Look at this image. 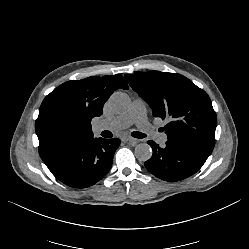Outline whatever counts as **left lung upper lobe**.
Instances as JSON below:
<instances>
[{
  "mask_svg": "<svg viewBox=\"0 0 249 249\" xmlns=\"http://www.w3.org/2000/svg\"><path fill=\"white\" fill-rule=\"evenodd\" d=\"M132 89L145 100L154 117L170 122L162 128L168 140L214 148L217 116L207 93L188 78L159 71L126 74Z\"/></svg>",
  "mask_w": 249,
  "mask_h": 249,
  "instance_id": "left-lung-upper-lobe-1",
  "label": "left lung upper lobe"
}]
</instances>
